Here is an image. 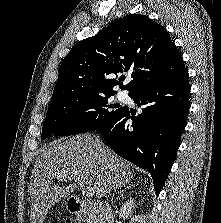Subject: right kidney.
Returning a JSON list of instances; mask_svg holds the SVG:
<instances>
[{
	"label": "right kidney",
	"instance_id": "ca27d5eb",
	"mask_svg": "<svg viewBox=\"0 0 221 223\" xmlns=\"http://www.w3.org/2000/svg\"><path fill=\"white\" fill-rule=\"evenodd\" d=\"M135 208L134 201L128 199L120 208L119 217L123 219H128L129 215L132 213V209Z\"/></svg>",
	"mask_w": 221,
	"mask_h": 223
}]
</instances>
